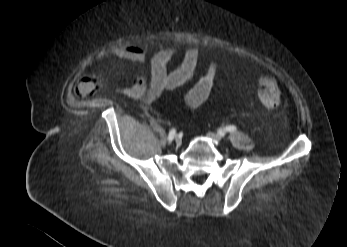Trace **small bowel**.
I'll list each match as a JSON object with an SVG mask.
<instances>
[{
  "label": "small bowel",
  "instance_id": "obj_1",
  "mask_svg": "<svg viewBox=\"0 0 347 247\" xmlns=\"http://www.w3.org/2000/svg\"><path fill=\"white\" fill-rule=\"evenodd\" d=\"M176 53L174 45L160 48L149 63V77L138 74L134 82L122 87L120 92L133 100H144L147 103L156 101L163 93L173 91L193 78L199 60V47L191 45L185 51L178 67L168 70V64ZM115 55L123 61L143 64L146 60L143 48L128 45L118 48ZM218 73L216 61H210L206 73L181 98V103L188 109L200 107L210 96ZM102 84L98 77H84L78 84V93L88 94Z\"/></svg>",
  "mask_w": 347,
  "mask_h": 247
}]
</instances>
